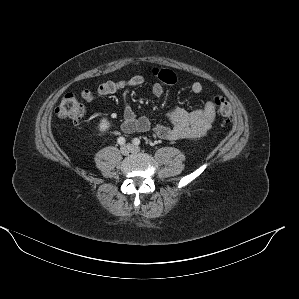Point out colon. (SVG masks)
<instances>
[{"mask_svg":"<svg viewBox=\"0 0 299 299\" xmlns=\"http://www.w3.org/2000/svg\"><path fill=\"white\" fill-rule=\"evenodd\" d=\"M215 106L227 124L232 123V107L230 102L221 96L214 99ZM58 117L73 122L80 121L85 115V107L74 93L66 94L56 109Z\"/></svg>","mask_w":299,"mask_h":299,"instance_id":"obj_1","label":"colon"}]
</instances>
